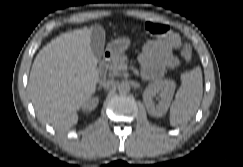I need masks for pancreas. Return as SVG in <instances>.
<instances>
[{
	"mask_svg": "<svg viewBox=\"0 0 243 167\" xmlns=\"http://www.w3.org/2000/svg\"><path fill=\"white\" fill-rule=\"evenodd\" d=\"M127 65V56L118 55L114 57L110 64L107 65L109 70V76L115 77L119 76L123 70V67Z\"/></svg>",
	"mask_w": 243,
	"mask_h": 167,
	"instance_id": "cf45deb5",
	"label": "pancreas"
}]
</instances>
